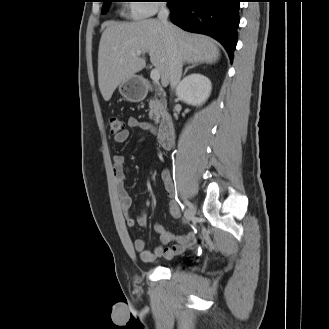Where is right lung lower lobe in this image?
Instances as JSON below:
<instances>
[{"instance_id":"right-lung-lower-lobe-1","label":"right lung lower lobe","mask_w":329,"mask_h":329,"mask_svg":"<svg viewBox=\"0 0 329 329\" xmlns=\"http://www.w3.org/2000/svg\"><path fill=\"white\" fill-rule=\"evenodd\" d=\"M241 0H167L172 23L182 29L209 35L226 49L230 60L237 44Z\"/></svg>"}]
</instances>
